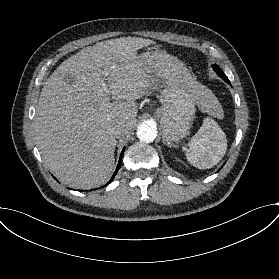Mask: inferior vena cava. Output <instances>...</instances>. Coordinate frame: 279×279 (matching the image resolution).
Instances as JSON below:
<instances>
[{
    "label": "inferior vena cava",
    "instance_id": "inferior-vena-cava-1",
    "mask_svg": "<svg viewBox=\"0 0 279 279\" xmlns=\"http://www.w3.org/2000/svg\"><path fill=\"white\" fill-rule=\"evenodd\" d=\"M128 132L127 130V125L124 123L120 126H117L116 128L113 129L112 134L116 137L119 138L123 135H125Z\"/></svg>",
    "mask_w": 279,
    "mask_h": 279
}]
</instances>
